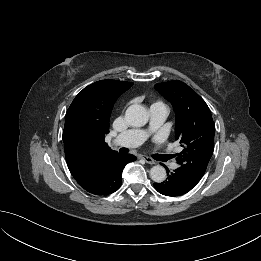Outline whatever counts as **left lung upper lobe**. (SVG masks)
Returning <instances> with one entry per match:
<instances>
[{
  "label": "left lung upper lobe",
  "mask_w": 261,
  "mask_h": 261,
  "mask_svg": "<svg viewBox=\"0 0 261 261\" xmlns=\"http://www.w3.org/2000/svg\"><path fill=\"white\" fill-rule=\"evenodd\" d=\"M155 88L172 103L176 113L175 138L184 147L177 154L179 167L200 181L214 150L215 125L210 109L181 81L158 83Z\"/></svg>",
  "instance_id": "obj_1"
}]
</instances>
